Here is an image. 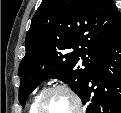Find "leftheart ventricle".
Returning <instances> with one entry per match:
<instances>
[{
  "instance_id": "b2bd125f",
  "label": "left heart ventricle",
  "mask_w": 121,
  "mask_h": 113,
  "mask_svg": "<svg viewBox=\"0 0 121 113\" xmlns=\"http://www.w3.org/2000/svg\"><path fill=\"white\" fill-rule=\"evenodd\" d=\"M42 109L48 112H68L73 109V101L66 93L56 92L46 98Z\"/></svg>"
}]
</instances>
